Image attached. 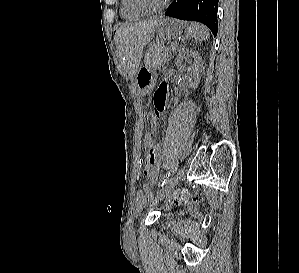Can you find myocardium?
Returning <instances> with one entry per match:
<instances>
[{
  "instance_id": "myocardium-1",
  "label": "myocardium",
  "mask_w": 299,
  "mask_h": 273,
  "mask_svg": "<svg viewBox=\"0 0 299 273\" xmlns=\"http://www.w3.org/2000/svg\"><path fill=\"white\" fill-rule=\"evenodd\" d=\"M169 1L170 0H163V2L157 7H149L144 3L143 0H129L133 9L146 15L158 14L162 12L168 6Z\"/></svg>"
}]
</instances>
